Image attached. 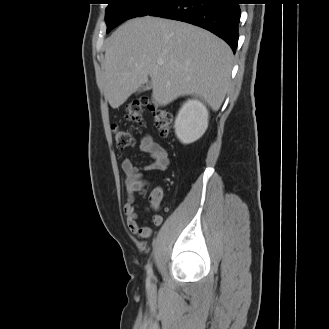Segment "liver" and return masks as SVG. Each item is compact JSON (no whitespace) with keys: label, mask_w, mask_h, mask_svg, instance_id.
<instances>
[{"label":"liver","mask_w":329,"mask_h":329,"mask_svg":"<svg viewBox=\"0 0 329 329\" xmlns=\"http://www.w3.org/2000/svg\"><path fill=\"white\" fill-rule=\"evenodd\" d=\"M232 66L231 48L209 31L180 21L135 18L106 41L104 94L116 109L150 77L153 103L165 106L180 96L196 95L217 111Z\"/></svg>","instance_id":"obj_1"}]
</instances>
